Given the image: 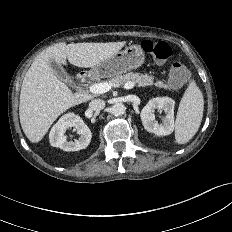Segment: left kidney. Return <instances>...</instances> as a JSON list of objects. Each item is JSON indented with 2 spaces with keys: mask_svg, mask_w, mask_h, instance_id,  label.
Wrapping results in <instances>:
<instances>
[{
  "mask_svg": "<svg viewBox=\"0 0 232 232\" xmlns=\"http://www.w3.org/2000/svg\"><path fill=\"white\" fill-rule=\"evenodd\" d=\"M174 106L175 101L169 97H156L149 100L141 111L142 124L146 131L158 136L169 135L174 130ZM154 109L164 110L166 116L159 124L153 116Z\"/></svg>",
  "mask_w": 232,
  "mask_h": 232,
  "instance_id": "left-kidney-1",
  "label": "left kidney"
}]
</instances>
